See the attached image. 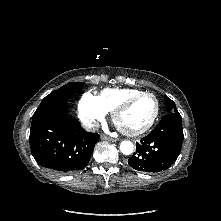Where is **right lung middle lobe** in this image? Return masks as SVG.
I'll use <instances>...</instances> for the list:
<instances>
[{
  "mask_svg": "<svg viewBox=\"0 0 221 221\" xmlns=\"http://www.w3.org/2000/svg\"><path fill=\"white\" fill-rule=\"evenodd\" d=\"M83 85V82H71L53 91L42 100L35 113L48 106L66 102L75 93H77L83 87Z\"/></svg>",
  "mask_w": 221,
  "mask_h": 221,
  "instance_id": "obj_1",
  "label": "right lung middle lobe"
}]
</instances>
